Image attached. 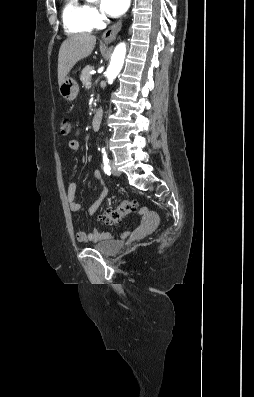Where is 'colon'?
Wrapping results in <instances>:
<instances>
[{
  "label": "colon",
  "mask_w": 254,
  "mask_h": 397,
  "mask_svg": "<svg viewBox=\"0 0 254 397\" xmlns=\"http://www.w3.org/2000/svg\"><path fill=\"white\" fill-rule=\"evenodd\" d=\"M71 131V124L67 119H62L60 122V133L66 136ZM139 204L135 199H126L121 201L118 206L106 211L101 216L103 223L107 225H114L119 223L123 217L128 214L134 213L138 210Z\"/></svg>",
  "instance_id": "1"
}]
</instances>
